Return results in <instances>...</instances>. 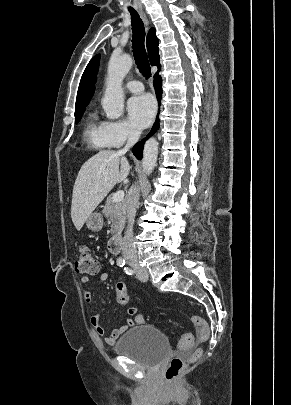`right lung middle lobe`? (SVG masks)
<instances>
[{"mask_svg": "<svg viewBox=\"0 0 291 405\" xmlns=\"http://www.w3.org/2000/svg\"><path fill=\"white\" fill-rule=\"evenodd\" d=\"M84 110H85V108H81V109H76V110H75V123H76V124L80 121L81 116L83 115Z\"/></svg>", "mask_w": 291, "mask_h": 405, "instance_id": "dd1d6c3e", "label": "right lung middle lobe"}]
</instances>
